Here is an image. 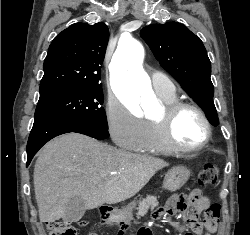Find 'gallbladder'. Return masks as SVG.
Segmentation results:
<instances>
[{"label": "gallbladder", "instance_id": "bac80fb5", "mask_svg": "<svg viewBox=\"0 0 250 235\" xmlns=\"http://www.w3.org/2000/svg\"><path fill=\"white\" fill-rule=\"evenodd\" d=\"M85 211L86 208L82 198H72L66 205L65 213L62 219L65 223L77 222L85 214Z\"/></svg>", "mask_w": 250, "mask_h": 235}]
</instances>
